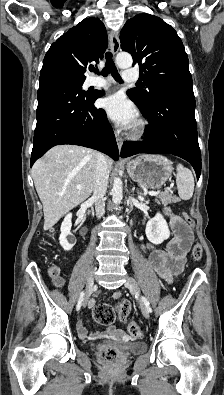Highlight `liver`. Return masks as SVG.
Returning a JSON list of instances; mask_svg holds the SVG:
<instances>
[{"label":"liver","instance_id":"6515ba94","mask_svg":"<svg viewBox=\"0 0 224 395\" xmlns=\"http://www.w3.org/2000/svg\"><path fill=\"white\" fill-rule=\"evenodd\" d=\"M98 153L75 145L50 149L32 167V177L43 204L44 230L51 229L68 211L85 201L95 182ZM109 169L113 161L107 157ZM77 186L82 188L79 190Z\"/></svg>","mask_w":224,"mask_h":395}]
</instances>
